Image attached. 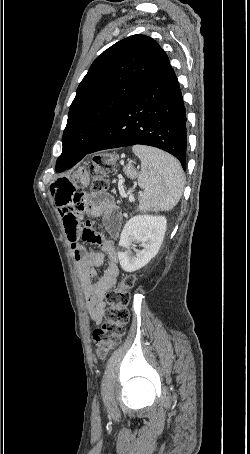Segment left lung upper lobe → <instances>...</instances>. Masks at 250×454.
<instances>
[{"label":"left lung upper lobe","mask_w":250,"mask_h":454,"mask_svg":"<svg viewBox=\"0 0 250 454\" xmlns=\"http://www.w3.org/2000/svg\"><path fill=\"white\" fill-rule=\"evenodd\" d=\"M168 62L145 35L127 37L98 56L70 106L62 154L85 155L111 118Z\"/></svg>","instance_id":"1"}]
</instances>
